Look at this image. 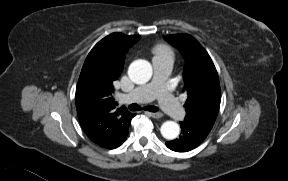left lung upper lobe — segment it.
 <instances>
[{
  "mask_svg": "<svg viewBox=\"0 0 288 181\" xmlns=\"http://www.w3.org/2000/svg\"><path fill=\"white\" fill-rule=\"evenodd\" d=\"M164 39L177 47L186 60L184 91L188 98L184 121L212 128L219 112L221 90L216 68L201 44L187 34L166 35Z\"/></svg>",
  "mask_w": 288,
  "mask_h": 181,
  "instance_id": "left-lung-upper-lobe-1",
  "label": "left lung upper lobe"
}]
</instances>
